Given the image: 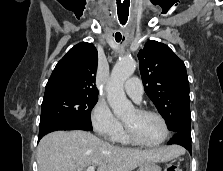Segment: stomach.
<instances>
[{
	"mask_svg": "<svg viewBox=\"0 0 223 171\" xmlns=\"http://www.w3.org/2000/svg\"><path fill=\"white\" fill-rule=\"evenodd\" d=\"M137 171H161V169L155 162H145L139 166Z\"/></svg>",
	"mask_w": 223,
	"mask_h": 171,
	"instance_id": "0dacf381",
	"label": "stomach"
}]
</instances>
